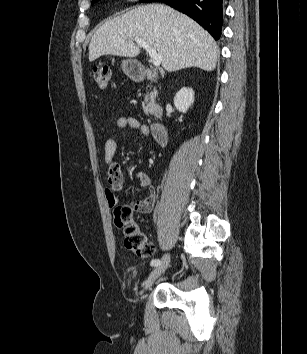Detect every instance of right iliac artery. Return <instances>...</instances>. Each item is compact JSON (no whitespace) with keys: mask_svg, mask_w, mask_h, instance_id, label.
Segmentation results:
<instances>
[{"mask_svg":"<svg viewBox=\"0 0 307 354\" xmlns=\"http://www.w3.org/2000/svg\"><path fill=\"white\" fill-rule=\"evenodd\" d=\"M161 261L159 259H153L151 262H150V265L151 266H158L160 265Z\"/></svg>","mask_w":307,"mask_h":354,"instance_id":"right-iliac-artery-1","label":"right iliac artery"}]
</instances>
